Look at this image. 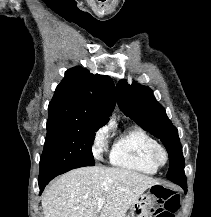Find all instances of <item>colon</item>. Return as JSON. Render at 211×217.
Masks as SVG:
<instances>
[{"label":"colon","mask_w":211,"mask_h":217,"mask_svg":"<svg viewBox=\"0 0 211 217\" xmlns=\"http://www.w3.org/2000/svg\"><path fill=\"white\" fill-rule=\"evenodd\" d=\"M154 194L158 199L154 217H174L180 208L179 195L164 186H157Z\"/></svg>","instance_id":"1"}]
</instances>
